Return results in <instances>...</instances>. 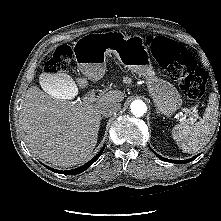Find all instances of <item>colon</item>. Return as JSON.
<instances>
[{
  "label": "colon",
  "mask_w": 221,
  "mask_h": 221,
  "mask_svg": "<svg viewBox=\"0 0 221 221\" xmlns=\"http://www.w3.org/2000/svg\"><path fill=\"white\" fill-rule=\"evenodd\" d=\"M146 44L159 65L167 70L190 99H199L205 93L207 74L197 66L196 59L182 45L162 36H149ZM73 66V51L68 45H60L52 53L46 69L65 72Z\"/></svg>",
  "instance_id": "obj_1"
}]
</instances>
